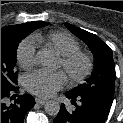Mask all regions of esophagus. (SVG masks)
<instances>
[{
    "instance_id": "1",
    "label": "esophagus",
    "mask_w": 123,
    "mask_h": 123,
    "mask_svg": "<svg viewBox=\"0 0 123 123\" xmlns=\"http://www.w3.org/2000/svg\"><path fill=\"white\" fill-rule=\"evenodd\" d=\"M35 100H36V103L41 104V105H44L47 102L46 100L40 99V98H36Z\"/></svg>"
}]
</instances>
